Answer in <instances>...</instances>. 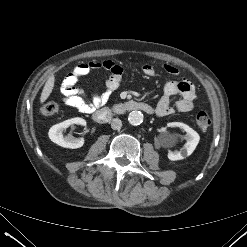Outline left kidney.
Wrapping results in <instances>:
<instances>
[{
  "label": "left kidney",
  "instance_id": "obj_1",
  "mask_svg": "<svg viewBox=\"0 0 247 247\" xmlns=\"http://www.w3.org/2000/svg\"><path fill=\"white\" fill-rule=\"evenodd\" d=\"M172 127H179L181 129H183L186 132V144L184 145V148L179 151V152H172L169 151L168 153V158L171 161H177V160H182L187 156H190L193 151L195 150L196 146L199 143L200 140V136L199 134L194 131L191 127H189L188 125L181 123V122H173L171 123ZM169 141H173V136L169 135L168 136Z\"/></svg>",
  "mask_w": 247,
  "mask_h": 247
}]
</instances>
